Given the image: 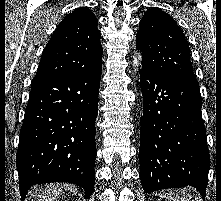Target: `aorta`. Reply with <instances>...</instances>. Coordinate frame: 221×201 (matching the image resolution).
Segmentation results:
<instances>
[{
  "label": "aorta",
  "instance_id": "1",
  "mask_svg": "<svg viewBox=\"0 0 221 201\" xmlns=\"http://www.w3.org/2000/svg\"><path fill=\"white\" fill-rule=\"evenodd\" d=\"M133 62H134V65H135V66H138L139 61L137 60V58H134V61H133Z\"/></svg>",
  "mask_w": 221,
  "mask_h": 201
}]
</instances>
